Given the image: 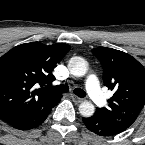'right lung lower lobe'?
I'll use <instances>...</instances> for the list:
<instances>
[{"instance_id": "98d812e1", "label": "right lung lower lobe", "mask_w": 145, "mask_h": 145, "mask_svg": "<svg viewBox=\"0 0 145 145\" xmlns=\"http://www.w3.org/2000/svg\"><path fill=\"white\" fill-rule=\"evenodd\" d=\"M61 97L60 95L39 110L15 116L5 122L11 127L23 131L36 128L45 121L52 108L59 103Z\"/></svg>"}]
</instances>
